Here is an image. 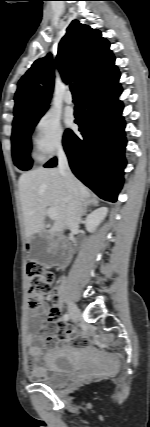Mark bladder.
Masks as SVG:
<instances>
[{"label":"bladder","mask_w":150,"mask_h":427,"mask_svg":"<svg viewBox=\"0 0 150 427\" xmlns=\"http://www.w3.org/2000/svg\"><path fill=\"white\" fill-rule=\"evenodd\" d=\"M46 371L47 376L43 378L42 383L55 388L69 382L76 369L65 354H57L47 361Z\"/></svg>","instance_id":"1"}]
</instances>
